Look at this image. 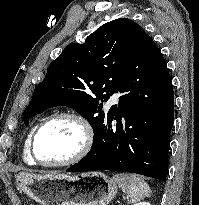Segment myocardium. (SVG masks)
Wrapping results in <instances>:
<instances>
[{"label":"myocardium","instance_id":"1","mask_svg":"<svg viewBox=\"0 0 199 205\" xmlns=\"http://www.w3.org/2000/svg\"><path fill=\"white\" fill-rule=\"evenodd\" d=\"M61 119H69L75 121L82 130V142L79 149L71 157L58 162H44L36 155V139L40 132L49 124ZM94 143V130L89 120L80 113L74 111H65L53 114L41 122L32 133L29 140V154L34 163L44 167H62L74 164L84 158L91 150Z\"/></svg>","mask_w":199,"mask_h":205}]
</instances>
